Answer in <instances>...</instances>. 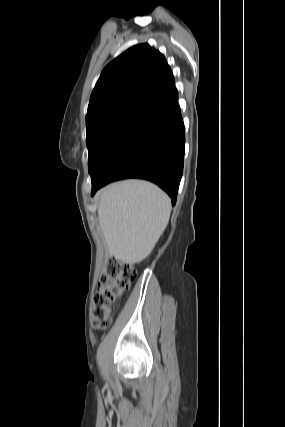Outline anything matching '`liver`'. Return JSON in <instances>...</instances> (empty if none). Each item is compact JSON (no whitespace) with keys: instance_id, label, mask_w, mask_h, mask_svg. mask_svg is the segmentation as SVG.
<instances>
[{"instance_id":"liver-1","label":"liver","mask_w":285,"mask_h":427,"mask_svg":"<svg viewBox=\"0 0 285 427\" xmlns=\"http://www.w3.org/2000/svg\"><path fill=\"white\" fill-rule=\"evenodd\" d=\"M170 198L142 180L113 183L99 192V225L110 255L128 264L147 258L168 225Z\"/></svg>"}]
</instances>
